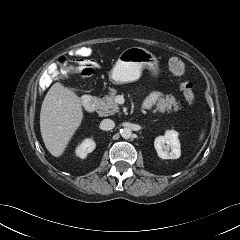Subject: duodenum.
<instances>
[{
  "label": "duodenum",
  "instance_id": "1",
  "mask_svg": "<svg viewBox=\"0 0 240 240\" xmlns=\"http://www.w3.org/2000/svg\"><path fill=\"white\" fill-rule=\"evenodd\" d=\"M97 105V101L90 96H86L82 99V108L86 111V112H92L95 110Z\"/></svg>",
  "mask_w": 240,
  "mask_h": 240
}]
</instances>
